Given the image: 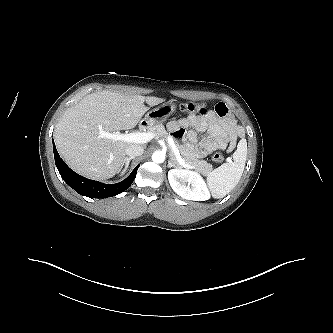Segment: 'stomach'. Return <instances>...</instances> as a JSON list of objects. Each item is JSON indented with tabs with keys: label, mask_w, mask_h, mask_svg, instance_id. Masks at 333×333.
Here are the masks:
<instances>
[{
	"label": "stomach",
	"mask_w": 333,
	"mask_h": 333,
	"mask_svg": "<svg viewBox=\"0 0 333 333\" xmlns=\"http://www.w3.org/2000/svg\"><path fill=\"white\" fill-rule=\"evenodd\" d=\"M176 110V103L168 101L149 111L142 120L147 126L162 123L169 118Z\"/></svg>",
	"instance_id": "obj_1"
}]
</instances>
